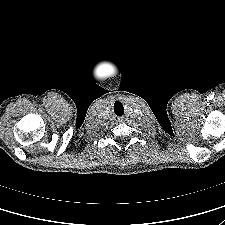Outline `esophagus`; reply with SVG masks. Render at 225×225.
I'll list each match as a JSON object with an SVG mask.
<instances>
[{
    "mask_svg": "<svg viewBox=\"0 0 225 225\" xmlns=\"http://www.w3.org/2000/svg\"><path fill=\"white\" fill-rule=\"evenodd\" d=\"M124 120H125L124 117H119V118H118V121H119V122H123Z\"/></svg>",
    "mask_w": 225,
    "mask_h": 225,
    "instance_id": "esophagus-1",
    "label": "esophagus"
}]
</instances>
